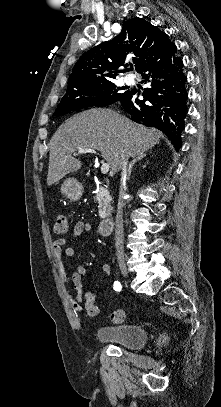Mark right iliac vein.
<instances>
[{
    "instance_id": "1",
    "label": "right iliac vein",
    "mask_w": 221,
    "mask_h": 407,
    "mask_svg": "<svg viewBox=\"0 0 221 407\" xmlns=\"http://www.w3.org/2000/svg\"><path fill=\"white\" fill-rule=\"evenodd\" d=\"M119 268H120V271H121V273L123 274L124 277H128V276H129V271H128V269H127V267H126L125 264H120V265H119Z\"/></svg>"
}]
</instances>
